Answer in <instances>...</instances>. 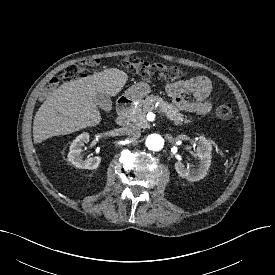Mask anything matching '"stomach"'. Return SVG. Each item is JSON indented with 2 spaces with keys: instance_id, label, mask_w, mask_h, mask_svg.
<instances>
[{
  "instance_id": "obj_1",
  "label": "stomach",
  "mask_w": 275,
  "mask_h": 275,
  "mask_svg": "<svg viewBox=\"0 0 275 275\" xmlns=\"http://www.w3.org/2000/svg\"><path fill=\"white\" fill-rule=\"evenodd\" d=\"M150 91V86L147 83L140 82L129 87L125 92V97L129 100L135 101L148 95Z\"/></svg>"
}]
</instances>
